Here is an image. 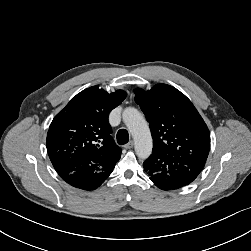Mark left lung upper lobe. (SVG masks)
Returning <instances> with one entry per match:
<instances>
[{
  "label": "left lung upper lobe",
  "mask_w": 251,
  "mask_h": 251,
  "mask_svg": "<svg viewBox=\"0 0 251 251\" xmlns=\"http://www.w3.org/2000/svg\"><path fill=\"white\" fill-rule=\"evenodd\" d=\"M153 138V152L206 162L209 130L191 101L176 88L157 84L151 90H134Z\"/></svg>",
  "instance_id": "1"
}]
</instances>
